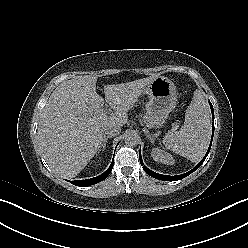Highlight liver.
Masks as SVG:
<instances>
[{"instance_id": "6515ba94", "label": "liver", "mask_w": 248, "mask_h": 248, "mask_svg": "<svg viewBox=\"0 0 248 248\" xmlns=\"http://www.w3.org/2000/svg\"><path fill=\"white\" fill-rule=\"evenodd\" d=\"M158 74L132 82L105 85V100L115 111L105 115L104 99L96 92L97 76H76L50 95L40 117L38 140L51 169L73 178L94 157L109 124L123 126L144 88Z\"/></svg>"}]
</instances>
